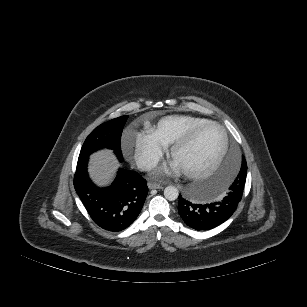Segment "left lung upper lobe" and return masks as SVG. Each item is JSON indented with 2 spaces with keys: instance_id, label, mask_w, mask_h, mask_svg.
I'll list each match as a JSON object with an SVG mask.
<instances>
[{
  "instance_id": "1",
  "label": "left lung upper lobe",
  "mask_w": 307,
  "mask_h": 307,
  "mask_svg": "<svg viewBox=\"0 0 307 307\" xmlns=\"http://www.w3.org/2000/svg\"><path fill=\"white\" fill-rule=\"evenodd\" d=\"M246 175H247V164H246V160L242 158V165H241L240 172L229 189L234 190V188H236L240 193H243V189H244V185L246 181Z\"/></svg>"
}]
</instances>
